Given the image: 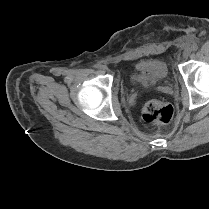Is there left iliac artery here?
Returning a JSON list of instances; mask_svg holds the SVG:
<instances>
[{"instance_id":"left-iliac-artery-1","label":"left iliac artery","mask_w":209,"mask_h":209,"mask_svg":"<svg viewBox=\"0 0 209 209\" xmlns=\"http://www.w3.org/2000/svg\"><path fill=\"white\" fill-rule=\"evenodd\" d=\"M197 49H198L197 44H193L192 47H191V50L192 51H197Z\"/></svg>"}]
</instances>
